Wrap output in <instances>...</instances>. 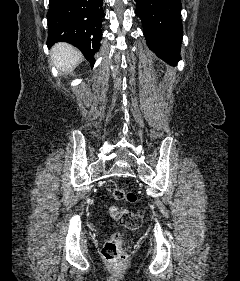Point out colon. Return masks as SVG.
<instances>
[{"instance_id": "obj_1", "label": "colon", "mask_w": 240, "mask_h": 281, "mask_svg": "<svg viewBox=\"0 0 240 281\" xmlns=\"http://www.w3.org/2000/svg\"><path fill=\"white\" fill-rule=\"evenodd\" d=\"M106 188L117 201L135 203L137 200L135 193L124 190L113 181H108ZM109 212L113 219L120 221L128 229L136 230L142 225L143 213L141 211L133 212L126 208L111 206ZM123 238L124 235L117 232L104 243L102 255L108 263L112 265L125 263L127 257L124 251Z\"/></svg>"}]
</instances>
